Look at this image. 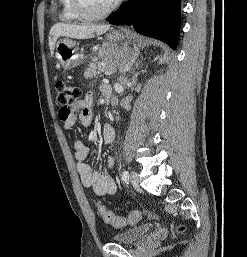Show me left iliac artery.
<instances>
[{"label":"left iliac artery","mask_w":247,"mask_h":257,"mask_svg":"<svg viewBox=\"0 0 247 257\" xmlns=\"http://www.w3.org/2000/svg\"><path fill=\"white\" fill-rule=\"evenodd\" d=\"M122 180L125 182V183H128V181H129V173H128V171H124L123 173H122Z\"/></svg>","instance_id":"obj_1"}]
</instances>
